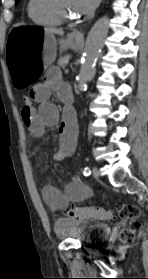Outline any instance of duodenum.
I'll return each mask as SVG.
<instances>
[{"label":"duodenum","mask_w":148,"mask_h":279,"mask_svg":"<svg viewBox=\"0 0 148 279\" xmlns=\"http://www.w3.org/2000/svg\"><path fill=\"white\" fill-rule=\"evenodd\" d=\"M65 104H70V101H66Z\"/></svg>","instance_id":"1"}]
</instances>
